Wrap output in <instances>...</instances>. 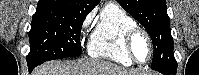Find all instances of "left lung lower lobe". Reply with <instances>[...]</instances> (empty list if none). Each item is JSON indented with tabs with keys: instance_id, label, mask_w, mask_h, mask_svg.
Listing matches in <instances>:
<instances>
[{
	"instance_id": "0a47b994",
	"label": "left lung lower lobe",
	"mask_w": 199,
	"mask_h": 75,
	"mask_svg": "<svg viewBox=\"0 0 199 75\" xmlns=\"http://www.w3.org/2000/svg\"><path fill=\"white\" fill-rule=\"evenodd\" d=\"M177 70V63L173 64L172 66H169L166 69H159L158 72L163 73L165 75H176Z\"/></svg>"
}]
</instances>
